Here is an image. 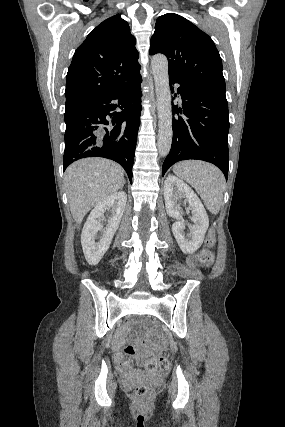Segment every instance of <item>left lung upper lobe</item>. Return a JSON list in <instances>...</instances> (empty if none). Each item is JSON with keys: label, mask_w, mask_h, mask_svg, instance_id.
<instances>
[{"label": "left lung upper lobe", "mask_w": 285, "mask_h": 427, "mask_svg": "<svg viewBox=\"0 0 285 427\" xmlns=\"http://www.w3.org/2000/svg\"><path fill=\"white\" fill-rule=\"evenodd\" d=\"M149 53L169 61V77L178 82L225 94L222 61L212 39L182 16L158 17Z\"/></svg>", "instance_id": "1"}]
</instances>
